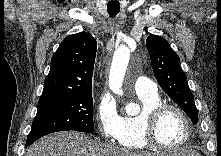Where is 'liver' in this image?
Wrapping results in <instances>:
<instances>
[{
  "label": "liver",
  "mask_w": 221,
  "mask_h": 156,
  "mask_svg": "<svg viewBox=\"0 0 221 156\" xmlns=\"http://www.w3.org/2000/svg\"><path fill=\"white\" fill-rule=\"evenodd\" d=\"M26 156H152L149 153L130 151L99 143L87 135L75 131H63L47 135L26 152Z\"/></svg>",
  "instance_id": "6515ba94"
}]
</instances>
